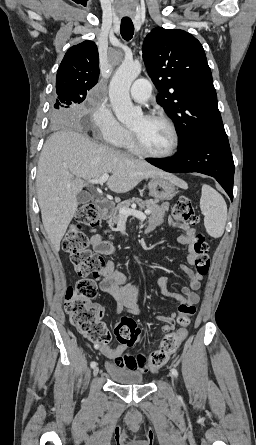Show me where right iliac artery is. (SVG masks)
<instances>
[{"mask_svg": "<svg viewBox=\"0 0 256 445\" xmlns=\"http://www.w3.org/2000/svg\"><path fill=\"white\" fill-rule=\"evenodd\" d=\"M90 366H91V368H94V367L96 366V362H95V361H92L91 364H90Z\"/></svg>", "mask_w": 256, "mask_h": 445, "instance_id": "1", "label": "right iliac artery"}]
</instances>
